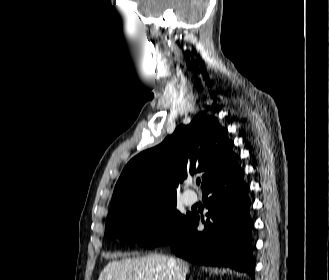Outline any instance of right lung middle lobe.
<instances>
[{
	"instance_id": "right-lung-middle-lobe-1",
	"label": "right lung middle lobe",
	"mask_w": 329,
	"mask_h": 280,
	"mask_svg": "<svg viewBox=\"0 0 329 280\" xmlns=\"http://www.w3.org/2000/svg\"><path fill=\"white\" fill-rule=\"evenodd\" d=\"M191 212L176 209V197L151 196L137 199L109 213L106 234L124 243L153 248L167 244L187 224Z\"/></svg>"
}]
</instances>
